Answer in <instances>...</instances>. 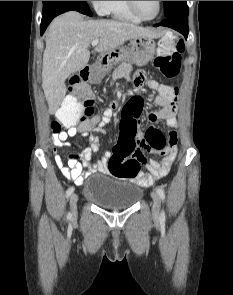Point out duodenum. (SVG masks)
I'll use <instances>...</instances> for the list:
<instances>
[{
	"mask_svg": "<svg viewBox=\"0 0 233 295\" xmlns=\"http://www.w3.org/2000/svg\"><path fill=\"white\" fill-rule=\"evenodd\" d=\"M93 76H94V73H93L92 68L85 67V68L82 69L81 77H82L83 81H89V80H91L93 78Z\"/></svg>",
	"mask_w": 233,
	"mask_h": 295,
	"instance_id": "obj_1",
	"label": "duodenum"
}]
</instances>
